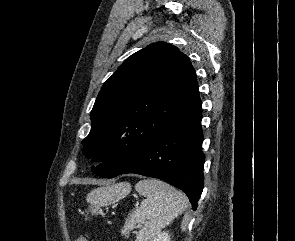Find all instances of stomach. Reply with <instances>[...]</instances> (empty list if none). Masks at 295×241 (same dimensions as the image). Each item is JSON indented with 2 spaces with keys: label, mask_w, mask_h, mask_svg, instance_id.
<instances>
[{
  "label": "stomach",
  "mask_w": 295,
  "mask_h": 241,
  "mask_svg": "<svg viewBox=\"0 0 295 241\" xmlns=\"http://www.w3.org/2000/svg\"><path fill=\"white\" fill-rule=\"evenodd\" d=\"M130 190L131 187L127 183L113 184L111 186L94 189L87 196V202L90 204L89 211L92 214H98L101 207L120 200L127 195Z\"/></svg>",
  "instance_id": "0dacf381"
}]
</instances>
